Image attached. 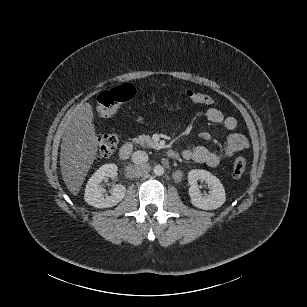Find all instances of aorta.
<instances>
[{
    "instance_id": "762f6f07",
    "label": "aorta",
    "mask_w": 307,
    "mask_h": 307,
    "mask_svg": "<svg viewBox=\"0 0 307 307\" xmlns=\"http://www.w3.org/2000/svg\"><path fill=\"white\" fill-rule=\"evenodd\" d=\"M154 173L157 176H161L164 174V167L162 165H156L154 167Z\"/></svg>"
}]
</instances>
